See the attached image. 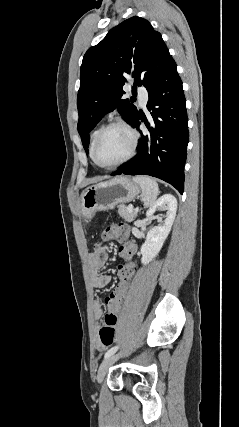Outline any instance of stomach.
I'll use <instances>...</instances> for the list:
<instances>
[{
	"label": "stomach",
	"instance_id": "0dacf381",
	"mask_svg": "<svg viewBox=\"0 0 239 427\" xmlns=\"http://www.w3.org/2000/svg\"><path fill=\"white\" fill-rule=\"evenodd\" d=\"M140 193L139 185L127 177L119 176L107 182L88 187L81 196L82 214L92 219L96 212L114 208L132 201Z\"/></svg>",
	"mask_w": 239,
	"mask_h": 427
}]
</instances>
